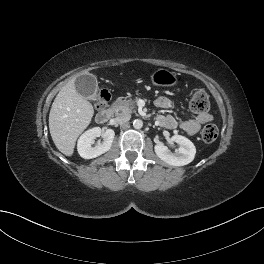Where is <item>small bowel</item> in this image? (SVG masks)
Returning <instances> with one entry per match:
<instances>
[{
	"label": "small bowel",
	"instance_id": "obj_1",
	"mask_svg": "<svg viewBox=\"0 0 264 264\" xmlns=\"http://www.w3.org/2000/svg\"><path fill=\"white\" fill-rule=\"evenodd\" d=\"M155 105L159 108L169 109L173 107V102L165 96H159L155 100ZM212 119V115L208 112L180 122H178L172 115H160L157 117L161 126L168 129L180 128L188 135H195L202 125L211 122Z\"/></svg>",
	"mask_w": 264,
	"mask_h": 264
}]
</instances>
